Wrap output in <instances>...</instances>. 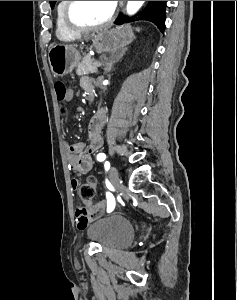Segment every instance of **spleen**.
<instances>
[{"label":"spleen","instance_id":"spleen-1","mask_svg":"<svg viewBox=\"0 0 237 300\" xmlns=\"http://www.w3.org/2000/svg\"><path fill=\"white\" fill-rule=\"evenodd\" d=\"M136 31H138V33H139V31H140L139 27H137Z\"/></svg>","mask_w":237,"mask_h":300}]
</instances>
